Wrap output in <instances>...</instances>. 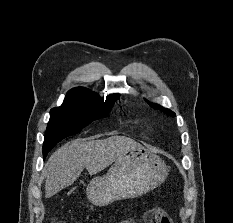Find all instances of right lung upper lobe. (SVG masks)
Here are the masks:
<instances>
[{"mask_svg": "<svg viewBox=\"0 0 233 223\" xmlns=\"http://www.w3.org/2000/svg\"><path fill=\"white\" fill-rule=\"evenodd\" d=\"M119 98L118 94L110 95L105 101L99 98V95L91 92L87 88L79 87L70 90L64 100V103H79V104H93V105H113Z\"/></svg>", "mask_w": 233, "mask_h": 223, "instance_id": "1", "label": "right lung upper lobe"}]
</instances>
